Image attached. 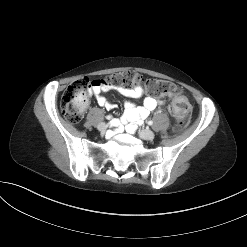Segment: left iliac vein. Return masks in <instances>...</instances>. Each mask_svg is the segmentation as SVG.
Instances as JSON below:
<instances>
[{
    "mask_svg": "<svg viewBox=\"0 0 247 247\" xmlns=\"http://www.w3.org/2000/svg\"><path fill=\"white\" fill-rule=\"evenodd\" d=\"M139 136L144 140H152L155 137V134L151 130L143 129L139 131Z\"/></svg>",
    "mask_w": 247,
    "mask_h": 247,
    "instance_id": "left-iliac-vein-1",
    "label": "left iliac vein"
}]
</instances>
